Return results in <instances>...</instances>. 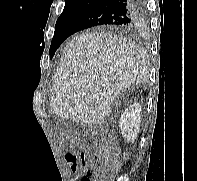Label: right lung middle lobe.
I'll list each match as a JSON object with an SVG mask.
<instances>
[{"label":"right lung middle lobe","instance_id":"1","mask_svg":"<svg viewBox=\"0 0 197 181\" xmlns=\"http://www.w3.org/2000/svg\"><path fill=\"white\" fill-rule=\"evenodd\" d=\"M88 8L89 7L81 6L70 10H63L55 25V32L49 50L50 58L54 56L58 47L68 37L78 18Z\"/></svg>","mask_w":197,"mask_h":181}]
</instances>
